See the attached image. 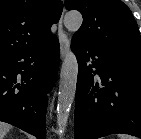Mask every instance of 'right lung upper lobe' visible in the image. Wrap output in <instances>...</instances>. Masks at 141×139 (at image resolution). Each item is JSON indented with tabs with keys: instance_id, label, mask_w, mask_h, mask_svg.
<instances>
[{
	"instance_id": "obj_1",
	"label": "right lung upper lobe",
	"mask_w": 141,
	"mask_h": 139,
	"mask_svg": "<svg viewBox=\"0 0 141 139\" xmlns=\"http://www.w3.org/2000/svg\"><path fill=\"white\" fill-rule=\"evenodd\" d=\"M62 9L59 0H0V57L51 39Z\"/></svg>"
}]
</instances>
